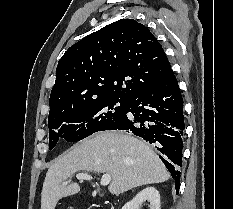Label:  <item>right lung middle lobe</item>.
<instances>
[{"mask_svg": "<svg viewBox=\"0 0 233 209\" xmlns=\"http://www.w3.org/2000/svg\"><path fill=\"white\" fill-rule=\"evenodd\" d=\"M127 104L128 100L125 99L107 98L51 112L48 117L49 150L55 147L60 138L77 142L108 129L124 117Z\"/></svg>", "mask_w": 233, "mask_h": 209, "instance_id": "right-lung-middle-lobe-1", "label": "right lung middle lobe"}]
</instances>
